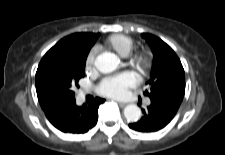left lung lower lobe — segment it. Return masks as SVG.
I'll return each instance as SVG.
<instances>
[{
    "label": "left lung lower lobe",
    "instance_id": "left-lung-lower-lobe-1",
    "mask_svg": "<svg viewBox=\"0 0 225 155\" xmlns=\"http://www.w3.org/2000/svg\"><path fill=\"white\" fill-rule=\"evenodd\" d=\"M181 102L177 100H151L146 110L142 109L144 116L129 127L139 132H155L161 130L176 115Z\"/></svg>",
    "mask_w": 225,
    "mask_h": 155
}]
</instances>
